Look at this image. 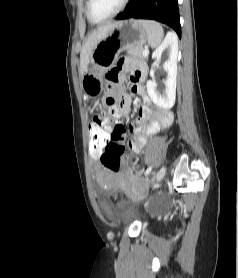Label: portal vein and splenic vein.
Here are the masks:
<instances>
[{"instance_id": "18ae733b", "label": "portal vein and splenic vein", "mask_w": 238, "mask_h": 278, "mask_svg": "<svg viewBox=\"0 0 238 278\" xmlns=\"http://www.w3.org/2000/svg\"><path fill=\"white\" fill-rule=\"evenodd\" d=\"M149 54V50H148V48L146 47L145 49H144V51H143V55L144 56H147Z\"/></svg>"}]
</instances>
